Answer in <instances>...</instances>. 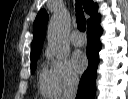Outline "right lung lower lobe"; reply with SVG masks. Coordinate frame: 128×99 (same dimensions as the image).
I'll use <instances>...</instances> for the list:
<instances>
[{
	"mask_svg": "<svg viewBox=\"0 0 128 99\" xmlns=\"http://www.w3.org/2000/svg\"><path fill=\"white\" fill-rule=\"evenodd\" d=\"M100 15L98 14L87 24V57L88 68L82 75L79 83L76 99H94L96 92V70L99 63L98 52L101 49L99 36L102 33L100 26Z\"/></svg>",
	"mask_w": 128,
	"mask_h": 99,
	"instance_id": "right-lung-lower-lobe-1",
	"label": "right lung lower lobe"
}]
</instances>
